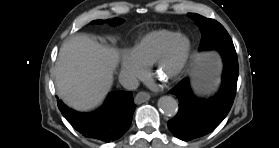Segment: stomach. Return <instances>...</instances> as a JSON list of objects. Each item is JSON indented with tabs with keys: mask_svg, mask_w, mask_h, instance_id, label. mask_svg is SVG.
I'll list each match as a JSON object with an SVG mask.
<instances>
[{
	"mask_svg": "<svg viewBox=\"0 0 279 148\" xmlns=\"http://www.w3.org/2000/svg\"><path fill=\"white\" fill-rule=\"evenodd\" d=\"M195 82L198 88L204 90L212 87L215 81L216 68L208 56H198L194 59Z\"/></svg>",
	"mask_w": 279,
	"mask_h": 148,
	"instance_id": "1",
	"label": "stomach"
}]
</instances>
